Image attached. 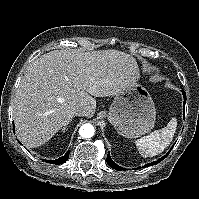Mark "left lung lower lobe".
<instances>
[{"label":"left lung lower lobe","mask_w":199,"mask_h":199,"mask_svg":"<svg viewBox=\"0 0 199 199\" xmlns=\"http://www.w3.org/2000/svg\"><path fill=\"white\" fill-rule=\"evenodd\" d=\"M182 93H183V96H184V100L186 101V94H185V92H184L183 90H182ZM185 101H184V105H185ZM169 152H170V151H169ZM169 152H168L165 156H163L162 158L158 159L157 161L148 163L147 165H145V167L152 166V165H155V164L161 162L164 158L167 157V155L169 154ZM106 160H107V164H108L111 168L116 169V170H123L122 167H120L119 165H117V164L111 159V157H110L109 154L107 155ZM138 168H141V167H138Z\"/></svg>","instance_id":"0a47b994"}]
</instances>
